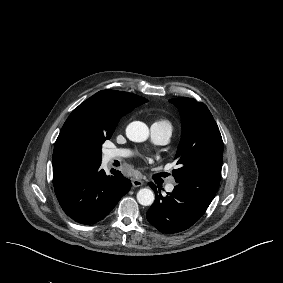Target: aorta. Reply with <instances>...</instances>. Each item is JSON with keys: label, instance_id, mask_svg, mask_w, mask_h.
Returning <instances> with one entry per match:
<instances>
[{"label": "aorta", "instance_id": "1", "mask_svg": "<svg viewBox=\"0 0 283 283\" xmlns=\"http://www.w3.org/2000/svg\"><path fill=\"white\" fill-rule=\"evenodd\" d=\"M126 136L133 142H143L149 136V129L145 123L133 121L126 128ZM154 200L155 196L151 189L142 188L137 193V201L143 206L152 205Z\"/></svg>", "mask_w": 283, "mask_h": 283}]
</instances>
